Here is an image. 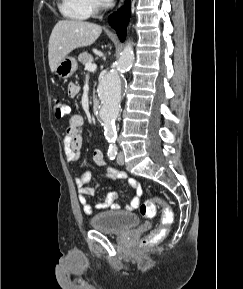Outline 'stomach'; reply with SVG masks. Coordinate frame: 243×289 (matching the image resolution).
<instances>
[{
	"mask_svg": "<svg viewBox=\"0 0 243 289\" xmlns=\"http://www.w3.org/2000/svg\"><path fill=\"white\" fill-rule=\"evenodd\" d=\"M77 66V61L74 57H66L59 62L55 73L60 78L66 79L73 75V73L77 70Z\"/></svg>",
	"mask_w": 243,
	"mask_h": 289,
	"instance_id": "0dacf381",
	"label": "stomach"
}]
</instances>
